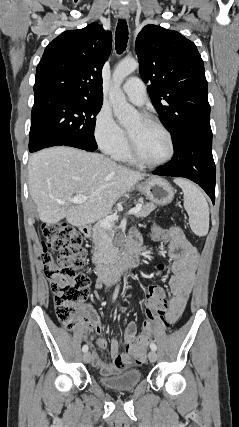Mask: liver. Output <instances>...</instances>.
<instances>
[{
    "label": "liver",
    "instance_id": "obj_1",
    "mask_svg": "<svg viewBox=\"0 0 239 427\" xmlns=\"http://www.w3.org/2000/svg\"><path fill=\"white\" fill-rule=\"evenodd\" d=\"M142 179L141 173L102 154L71 147L44 149L31 155L28 162L29 193L41 221L47 224L64 218L77 227L97 222ZM73 195L87 199L74 204L69 202Z\"/></svg>",
    "mask_w": 239,
    "mask_h": 427
}]
</instances>
